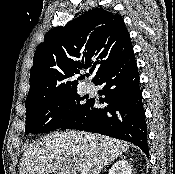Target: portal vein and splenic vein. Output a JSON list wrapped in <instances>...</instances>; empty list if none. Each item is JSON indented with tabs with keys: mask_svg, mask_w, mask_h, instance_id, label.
I'll return each instance as SVG.
<instances>
[{
	"mask_svg": "<svg viewBox=\"0 0 175 174\" xmlns=\"http://www.w3.org/2000/svg\"><path fill=\"white\" fill-rule=\"evenodd\" d=\"M74 161H75V163L77 164L80 173H81V174H87L86 169H85V166L82 165V164H80V163L77 161V159H74Z\"/></svg>",
	"mask_w": 175,
	"mask_h": 174,
	"instance_id": "portal-vein-and-splenic-vein-1",
	"label": "portal vein and splenic vein"
}]
</instances>
